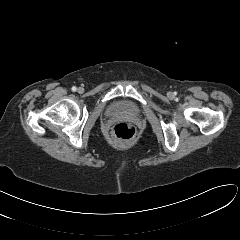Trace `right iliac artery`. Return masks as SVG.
Returning <instances> with one entry per match:
<instances>
[{
    "label": "right iliac artery",
    "instance_id": "right-iliac-artery-1",
    "mask_svg": "<svg viewBox=\"0 0 240 240\" xmlns=\"http://www.w3.org/2000/svg\"><path fill=\"white\" fill-rule=\"evenodd\" d=\"M71 90H72L73 92H75V91L77 90V88H76L75 86H73V87L71 88Z\"/></svg>",
    "mask_w": 240,
    "mask_h": 240
}]
</instances>
